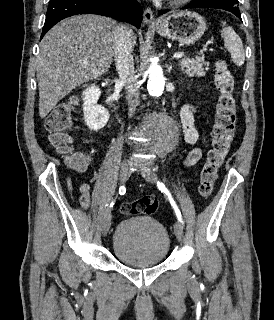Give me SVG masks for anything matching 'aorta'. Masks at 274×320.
<instances>
[{
    "mask_svg": "<svg viewBox=\"0 0 274 320\" xmlns=\"http://www.w3.org/2000/svg\"><path fill=\"white\" fill-rule=\"evenodd\" d=\"M147 89L153 98H160L164 92L165 77L161 66L152 61L148 70ZM149 148L156 153L168 151L173 146L177 136L175 122L163 113H153L146 121Z\"/></svg>",
    "mask_w": 274,
    "mask_h": 320,
    "instance_id": "obj_1",
    "label": "aorta"
}]
</instances>
